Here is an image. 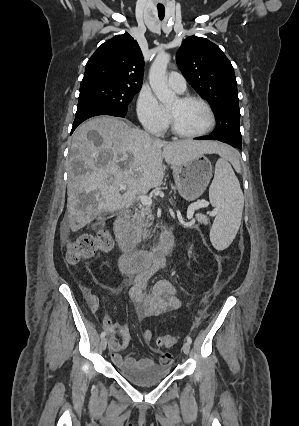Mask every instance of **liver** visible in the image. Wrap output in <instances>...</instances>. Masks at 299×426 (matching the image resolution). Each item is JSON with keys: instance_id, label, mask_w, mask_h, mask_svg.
<instances>
[{"instance_id": "6515ba94", "label": "liver", "mask_w": 299, "mask_h": 426, "mask_svg": "<svg viewBox=\"0 0 299 426\" xmlns=\"http://www.w3.org/2000/svg\"><path fill=\"white\" fill-rule=\"evenodd\" d=\"M99 134V143L88 138ZM227 157L231 149L214 141L155 140L138 128L113 117H96L74 132L69 157L67 219L72 231L83 228L102 213L128 208L137 196L159 186L163 159L175 167L203 155ZM78 164L85 173L76 174ZM119 184L127 190L121 194Z\"/></svg>"}]
</instances>
